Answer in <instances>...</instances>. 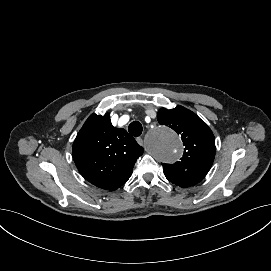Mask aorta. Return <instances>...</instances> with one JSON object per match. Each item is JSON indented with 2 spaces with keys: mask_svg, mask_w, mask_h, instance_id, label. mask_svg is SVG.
<instances>
[{
  "mask_svg": "<svg viewBox=\"0 0 271 271\" xmlns=\"http://www.w3.org/2000/svg\"><path fill=\"white\" fill-rule=\"evenodd\" d=\"M146 142L150 153L162 162H176L183 154V144L179 136L168 127L162 126L151 131Z\"/></svg>",
  "mask_w": 271,
  "mask_h": 271,
  "instance_id": "1",
  "label": "aorta"
}]
</instances>
